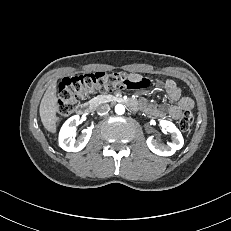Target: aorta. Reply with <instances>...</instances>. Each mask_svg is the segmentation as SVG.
<instances>
[{
  "instance_id": "1",
  "label": "aorta",
  "mask_w": 231,
  "mask_h": 231,
  "mask_svg": "<svg viewBox=\"0 0 231 231\" xmlns=\"http://www.w3.org/2000/svg\"><path fill=\"white\" fill-rule=\"evenodd\" d=\"M115 112H116V114H118V115L124 114V113H125V107H124V105H122V104H117V105L115 106Z\"/></svg>"
}]
</instances>
